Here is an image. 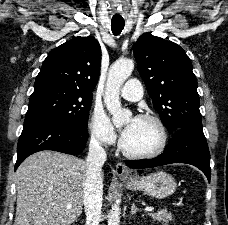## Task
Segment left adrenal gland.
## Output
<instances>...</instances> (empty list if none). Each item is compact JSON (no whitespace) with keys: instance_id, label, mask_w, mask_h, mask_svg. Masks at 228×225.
<instances>
[{"instance_id":"1","label":"left adrenal gland","mask_w":228,"mask_h":225,"mask_svg":"<svg viewBox=\"0 0 228 225\" xmlns=\"http://www.w3.org/2000/svg\"><path fill=\"white\" fill-rule=\"evenodd\" d=\"M139 209H137V207H135V203H132V207H131V215H136V213H138Z\"/></svg>"}]
</instances>
